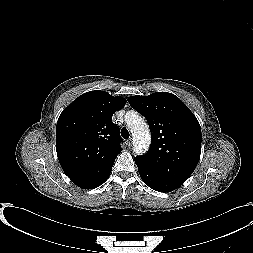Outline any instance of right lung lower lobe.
Here are the masks:
<instances>
[{
	"instance_id": "1",
	"label": "right lung lower lobe",
	"mask_w": 253,
	"mask_h": 253,
	"mask_svg": "<svg viewBox=\"0 0 253 253\" xmlns=\"http://www.w3.org/2000/svg\"><path fill=\"white\" fill-rule=\"evenodd\" d=\"M110 173L108 175H106L105 177L101 178L100 180L92 183V184H89V185H86V186H83L81 188L83 189H93V188H96L98 186H100L101 184H103L109 177Z\"/></svg>"
}]
</instances>
